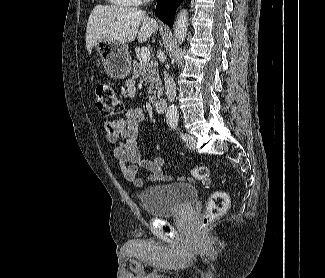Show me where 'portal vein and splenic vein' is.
<instances>
[{
  "label": "portal vein and splenic vein",
  "mask_w": 325,
  "mask_h": 278,
  "mask_svg": "<svg viewBox=\"0 0 325 278\" xmlns=\"http://www.w3.org/2000/svg\"><path fill=\"white\" fill-rule=\"evenodd\" d=\"M140 56H141V61L149 62V60H150V51L147 49V47H142L141 48Z\"/></svg>",
  "instance_id": "obj_1"
}]
</instances>
